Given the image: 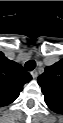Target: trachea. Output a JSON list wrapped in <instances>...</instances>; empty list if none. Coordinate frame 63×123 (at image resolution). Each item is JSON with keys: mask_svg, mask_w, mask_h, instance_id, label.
I'll return each mask as SVG.
<instances>
[{"mask_svg": "<svg viewBox=\"0 0 63 123\" xmlns=\"http://www.w3.org/2000/svg\"><path fill=\"white\" fill-rule=\"evenodd\" d=\"M27 71H32L36 67V62L34 60H29L24 65Z\"/></svg>", "mask_w": 63, "mask_h": 123, "instance_id": "3493384b", "label": "trachea"}]
</instances>
